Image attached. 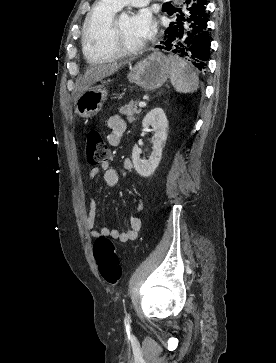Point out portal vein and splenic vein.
<instances>
[{
  "label": "portal vein and splenic vein",
  "mask_w": 276,
  "mask_h": 363,
  "mask_svg": "<svg viewBox=\"0 0 276 363\" xmlns=\"http://www.w3.org/2000/svg\"><path fill=\"white\" fill-rule=\"evenodd\" d=\"M146 106V103L145 102H140L139 103V107H145Z\"/></svg>",
  "instance_id": "18ae733b"
}]
</instances>
